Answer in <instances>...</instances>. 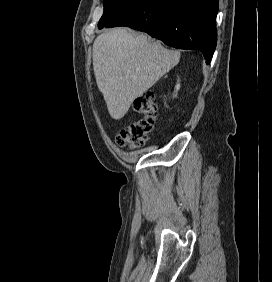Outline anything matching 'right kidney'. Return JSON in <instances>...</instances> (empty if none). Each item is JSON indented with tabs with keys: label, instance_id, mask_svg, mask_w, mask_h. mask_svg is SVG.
I'll use <instances>...</instances> for the list:
<instances>
[{
	"label": "right kidney",
	"instance_id": "1",
	"mask_svg": "<svg viewBox=\"0 0 272 282\" xmlns=\"http://www.w3.org/2000/svg\"><path fill=\"white\" fill-rule=\"evenodd\" d=\"M180 88V85L179 84H177L176 85V90H178Z\"/></svg>",
	"mask_w": 272,
	"mask_h": 282
}]
</instances>
